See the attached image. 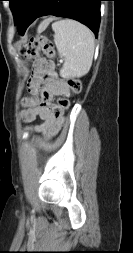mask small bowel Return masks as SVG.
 I'll return each mask as SVG.
<instances>
[{
	"mask_svg": "<svg viewBox=\"0 0 133 253\" xmlns=\"http://www.w3.org/2000/svg\"><path fill=\"white\" fill-rule=\"evenodd\" d=\"M46 59V60H45ZM36 60L34 70L27 84L29 95L22 99L23 109L20 112L21 120L28 125L29 132L39 133L46 137L56 135L61 129L63 114L54 113V97H68L70 88L66 81L55 75L53 56ZM39 116L42 122L32 124Z\"/></svg>",
	"mask_w": 133,
	"mask_h": 253,
	"instance_id": "1",
	"label": "small bowel"
}]
</instances>
